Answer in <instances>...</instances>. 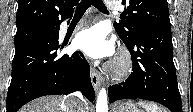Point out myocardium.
<instances>
[{
	"label": "myocardium",
	"instance_id": "myocardium-1",
	"mask_svg": "<svg viewBox=\"0 0 193 112\" xmlns=\"http://www.w3.org/2000/svg\"><path fill=\"white\" fill-rule=\"evenodd\" d=\"M132 70V60L130 53L122 48L109 66V73L115 79L127 77Z\"/></svg>",
	"mask_w": 193,
	"mask_h": 112
}]
</instances>
